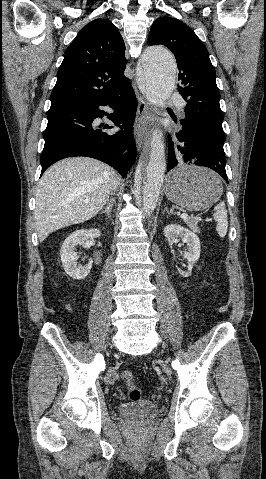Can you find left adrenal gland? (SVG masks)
Listing matches in <instances>:
<instances>
[{"label": "left adrenal gland", "mask_w": 266, "mask_h": 479, "mask_svg": "<svg viewBox=\"0 0 266 479\" xmlns=\"http://www.w3.org/2000/svg\"><path fill=\"white\" fill-rule=\"evenodd\" d=\"M164 212H167V213H168V215H170V212H169V210H168L167 206H165V208H164V210H163V213H164Z\"/></svg>", "instance_id": "obj_1"}]
</instances>
